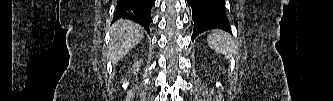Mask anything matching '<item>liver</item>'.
Here are the masks:
<instances>
[{
    "label": "liver",
    "mask_w": 333,
    "mask_h": 101,
    "mask_svg": "<svg viewBox=\"0 0 333 101\" xmlns=\"http://www.w3.org/2000/svg\"><path fill=\"white\" fill-rule=\"evenodd\" d=\"M143 28L125 19L116 21L111 28L108 58L116 63L143 39Z\"/></svg>",
    "instance_id": "obj_1"
}]
</instances>
